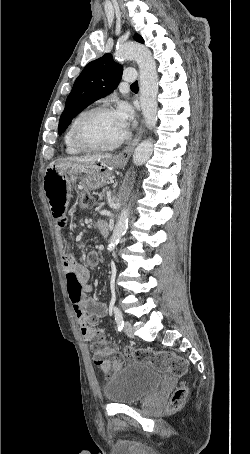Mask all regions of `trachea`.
I'll return each mask as SVG.
<instances>
[{
  "mask_svg": "<svg viewBox=\"0 0 250 454\" xmlns=\"http://www.w3.org/2000/svg\"><path fill=\"white\" fill-rule=\"evenodd\" d=\"M137 86H138V83H137V81H136V82H134V83H133V84L131 85V87H137Z\"/></svg>",
  "mask_w": 250,
  "mask_h": 454,
  "instance_id": "trachea-1",
  "label": "trachea"
}]
</instances>
